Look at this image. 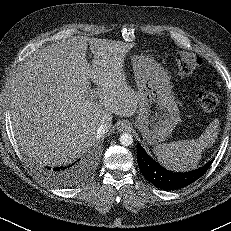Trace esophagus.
Returning <instances> with one entry per match:
<instances>
[{"label":"esophagus","mask_w":231,"mask_h":231,"mask_svg":"<svg viewBox=\"0 0 231 231\" xmlns=\"http://www.w3.org/2000/svg\"><path fill=\"white\" fill-rule=\"evenodd\" d=\"M117 129L119 132L127 131L129 129V125L127 122L122 121V122H119Z\"/></svg>","instance_id":"esophagus-1"}]
</instances>
